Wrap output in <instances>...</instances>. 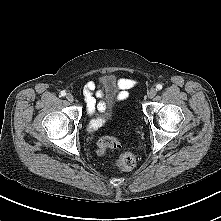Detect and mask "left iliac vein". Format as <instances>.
<instances>
[{"mask_svg":"<svg viewBox=\"0 0 221 221\" xmlns=\"http://www.w3.org/2000/svg\"><path fill=\"white\" fill-rule=\"evenodd\" d=\"M156 93H157L156 89L151 88L148 92V98H150V99L154 98L156 96Z\"/></svg>","mask_w":221,"mask_h":221,"instance_id":"1","label":"left iliac vein"}]
</instances>
